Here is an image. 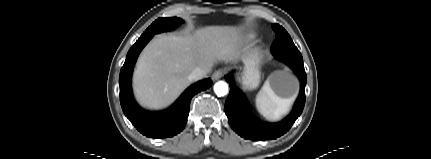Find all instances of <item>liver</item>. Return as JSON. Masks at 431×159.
Masks as SVG:
<instances>
[{"label": "liver", "instance_id": "obj_1", "mask_svg": "<svg viewBox=\"0 0 431 159\" xmlns=\"http://www.w3.org/2000/svg\"><path fill=\"white\" fill-rule=\"evenodd\" d=\"M242 29L209 26L193 34L158 35L142 51L133 76L137 101L149 109L170 105L186 89L189 74L241 56Z\"/></svg>", "mask_w": 431, "mask_h": 159}]
</instances>
